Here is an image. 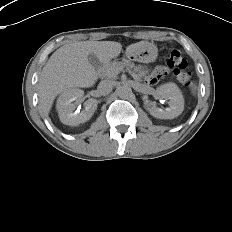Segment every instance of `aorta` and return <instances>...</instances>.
I'll use <instances>...</instances> for the list:
<instances>
[{
	"label": "aorta",
	"mask_w": 232,
	"mask_h": 232,
	"mask_svg": "<svg viewBox=\"0 0 232 232\" xmlns=\"http://www.w3.org/2000/svg\"><path fill=\"white\" fill-rule=\"evenodd\" d=\"M118 95L122 99H128L132 96V89L128 85H123L119 88Z\"/></svg>",
	"instance_id": "obj_1"
}]
</instances>
